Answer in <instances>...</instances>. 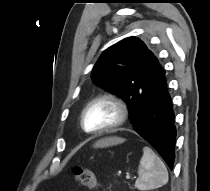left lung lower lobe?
I'll list each match as a JSON object with an SVG mask.
<instances>
[{
	"instance_id": "1",
	"label": "left lung lower lobe",
	"mask_w": 210,
	"mask_h": 191,
	"mask_svg": "<svg viewBox=\"0 0 210 191\" xmlns=\"http://www.w3.org/2000/svg\"><path fill=\"white\" fill-rule=\"evenodd\" d=\"M157 84L138 106L137 116L132 122L134 130L144 138L173 169L176 128L171 97L168 92L165 70L156 74Z\"/></svg>"
}]
</instances>
